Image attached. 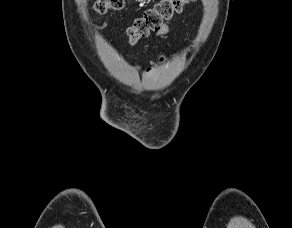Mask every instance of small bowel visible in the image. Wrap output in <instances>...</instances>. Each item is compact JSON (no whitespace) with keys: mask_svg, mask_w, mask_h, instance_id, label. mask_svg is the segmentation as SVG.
I'll return each instance as SVG.
<instances>
[{"mask_svg":"<svg viewBox=\"0 0 292 228\" xmlns=\"http://www.w3.org/2000/svg\"><path fill=\"white\" fill-rule=\"evenodd\" d=\"M168 32V27L163 25L157 32L158 36H164Z\"/></svg>","mask_w":292,"mask_h":228,"instance_id":"small-bowel-1","label":"small bowel"}]
</instances>
